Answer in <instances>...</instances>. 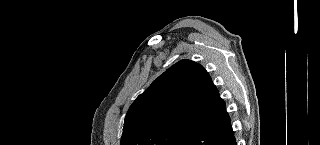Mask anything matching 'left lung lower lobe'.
<instances>
[{"instance_id":"left-lung-lower-lobe-1","label":"left lung lower lobe","mask_w":320,"mask_h":145,"mask_svg":"<svg viewBox=\"0 0 320 145\" xmlns=\"http://www.w3.org/2000/svg\"><path fill=\"white\" fill-rule=\"evenodd\" d=\"M212 92L215 100L212 111L185 134L179 145H236L225 102L213 83Z\"/></svg>"}]
</instances>
